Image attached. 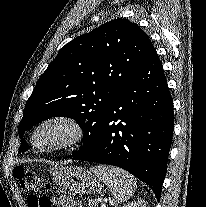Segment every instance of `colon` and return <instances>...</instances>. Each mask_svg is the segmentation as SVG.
I'll list each match as a JSON object with an SVG mask.
<instances>
[{
    "instance_id": "1",
    "label": "colon",
    "mask_w": 206,
    "mask_h": 207,
    "mask_svg": "<svg viewBox=\"0 0 206 207\" xmlns=\"http://www.w3.org/2000/svg\"><path fill=\"white\" fill-rule=\"evenodd\" d=\"M14 176L23 193L27 195L29 207H53L51 200L41 194L45 186L34 172L24 167H16Z\"/></svg>"
}]
</instances>
